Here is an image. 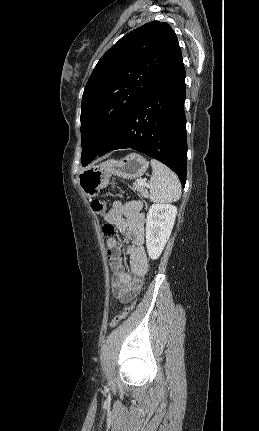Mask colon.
Instances as JSON below:
<instances>
[{
    "label": "colon",
    "instance_id": "obj_1",
    "mask_svg": "<svg viewBox=\"0 0 259 431\" xmlns=\"http://www.w3.org/2000/svg\"><path fill=\"white\" fill-rule=\"evenodd\" d=\"M91 207L93 209V211L96 214H99V218H104V213L106 212L107 209V203L105 201L102 200H94L91 203ZM102 232L103 235L105 237H110L114 234V226L111 223H106L103 225L102 227ZM135 306V301H132L131 303H129L127 306L124 307V309L118 313L116 316H114V318L112 319L110 326L112 328L117 327L128 315L129 313L133 310Z\"/></svg>",
    "mask_w": 259,
    "mask_h": 431
}]
</instances>
